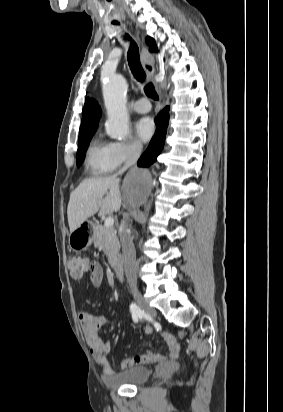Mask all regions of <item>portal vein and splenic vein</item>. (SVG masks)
I'll list each match as a JSON object with an SVG mask.
<instances>
[{
	"label": "portal vein and splenic vein",
	"instance_id": "obj_1",
	"mask_svg": "<svg viewBox=\"0 0 283 412\" xmlns=\"http://www.w3.org/2000/svg\"><path fill=\"white\" fill-rule=\"evenodd\" d=\"M114 224V219L112 217H108L104 221V226L105 227H112Z\"/></svg>",
	"mask_w": 283,
	"mask_h": 412
}]
</instances>
